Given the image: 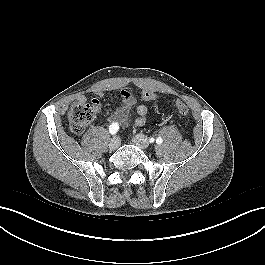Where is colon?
Here are the masks:
<instances>
[{"instance_id": "1", "label": "colon", "mask_w": 265, "mask_h": 265, "mask_svg": "<svg viewBox=\"0 0 265 265\" xmlns=\"http://www.w3.org/2000/svg\"><path fill=\"white\" fill-rule=\"evenodd\" d=\"M141 99L150 102L156 99V94L151 90H143L141 93ZM175 107L180 115L187 116L189 109L186 103L178 100L175 102ZM97 110V103L93 100L91 102L80 103L73 106L68 113L69 128L71 132L75 134L82 133L94 119Z\"/></svg>"}]
</instances>
